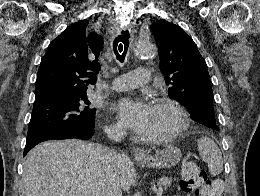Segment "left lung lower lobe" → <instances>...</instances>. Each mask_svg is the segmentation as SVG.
Segmentation results:
<instances>
[{"label": "left lung lower lobe", "mask_w": 260, "mask_h": 196, "mask_svg": "<svg viewBox=\"0 0 260 196\" xmlns=\"http://www.w3.org/2000/svg\"><path fill=\"white\" fill-rule=\"evenodd\" d=\"M190 114L194 121L205 126L215 121L214 109L210 106L195 107Z\"/></svg>", "instance_id": "0a47b994"}]
</instances>
